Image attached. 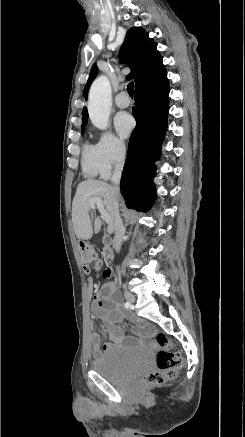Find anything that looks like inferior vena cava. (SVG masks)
Wrapping results in <instances>:
<instances>
[{
    "label": "inferior vena cava",
    "mask_w": 245,
    "mask_h": 437,
    "mask_svg": "<svg viewBox=\"0 0 245 437\" xmlns=\"http://www.w3.org/2000/svg\"><path fill=\"white\" fill-rule=\"evenodd\" d=\"M124 160H125V146L124 144H122L118 149L116 164H115L113 175L111 177L113 190L115 191L116 194L119 192V183L121 179ZM113 206H114V213H115V235L113 239V248L116 252H119L121 249L122 237L125 231V227L123 225L122 219L119 214V203L116 197L114 198Z\"/></svg>",
    "instance_id": "inferior-vena-cava-1"
}]
</instances>
